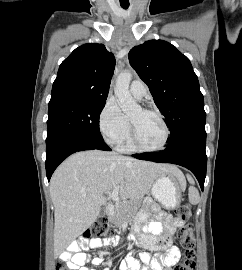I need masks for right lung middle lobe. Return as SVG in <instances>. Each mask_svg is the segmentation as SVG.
<instances>
[{
  "label": "right lung middle lobe",
  "instance_id": "dd1d6c3e",
  "mask_svg": "<svg viewBox=\"0 0 242 270\" xmlns=\"http://www.w3.org/2000/svg\"><path fill=\"white\" fill-rule=\"evenodd\" d=\"M105 102H65L50 105L47 120L46 146L66 136H83L103 140L99 115Z\"/></svg>",
  "mask_w": 242,
  "mask_h": 270
}]
</instances>
